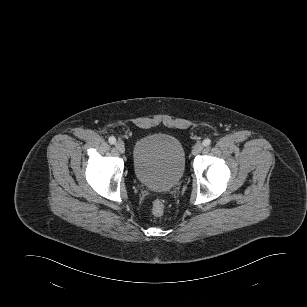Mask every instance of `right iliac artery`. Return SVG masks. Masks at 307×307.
Masks as SVG:
<instances>
[{
	"label": "right iliac artery",
	"mask_w": 307,
	"mask_h": 307,
	"mask_svg": "<svg viewBox=\"0 0 307 307\" xmlns=\"http://www.w3.org/2000/svg\"><path fill=\"white\" fill-rule=\"evenodd\" d=\"M109 143H110V144H115V143H116L115 137L111 136V137L109 138Z\"/></svg>",
	"instance_id": "right-iliac-artery-1"
}]
</instances>
